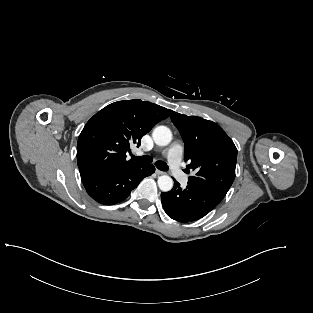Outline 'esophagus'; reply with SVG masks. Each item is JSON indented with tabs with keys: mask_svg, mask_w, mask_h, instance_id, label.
<instances>
[{
	"mask_svg": "<svg viewBox=\"0 0 313 313\" xmlns=\"http://www.w3.org/2000/svg\"><path fill=\"white\" fill-rule=\"evenodd\" d=\"M155 172H156L157 175H164L165 174V172H163L161 170H158V169H156Z\"/></svg>",
	"mask_w": 313,
	"mask_h": 313,
	"instance_id": "esophagus-1",
	"label": "esophagus"
}]
</instances>
